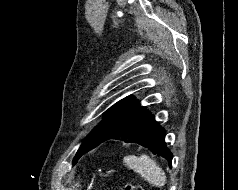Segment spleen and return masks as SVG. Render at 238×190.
<instances>
[{
	"label": "spleen",
	"instance_id": "spleen-1",
	"mask_svg": "<svg viewBox=\"0 0 238 190\" xmlns=\"http://www.w3.org/2000/svg\"><path fill=\"white\" fill-rule=\"evenodd\" d=\"M130 169L141 175L148 183L156 187H162L166 183V175L161 167L149 156L140 157L130 155L123 159Z\"/></svg>",
	"mask_w": 238,
	"mask_h": 190
}]
</instances>
